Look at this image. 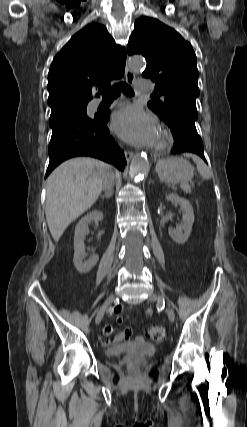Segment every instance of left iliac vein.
Segmentation results:
<instances>
[{"instance_id":"obj_1","label":"left iliac vein","mask_w":247,"mask_h":427,"mask_svg":"<svg viewBox=\"0 0 247 427\" xmlns=\"http://www.w3.org/2000/svg\"><path fill=\"white\" fill-rule=\"evenodd\" d=\"M159 300H161V297L155 293H151L148 297V301H150V302H155V301H159ZM166 312H167L169 320L171 322H174L175 314H174L173 310L170 307H167Z\"/></svg>"}]
</instances>
